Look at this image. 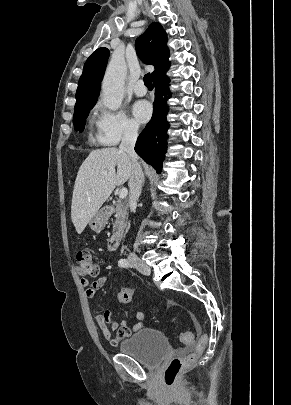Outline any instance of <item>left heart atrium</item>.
<instances>
[{
    "instance_id": "left-heart-atrium-1",
    "label": "left heart atrium",
    "mask_w": 291,
    "mask_h": 405,
    "mask_svg": "<svg viewBox=\"0 0 291 405\" xmlns=\"http://www.w3.org/2000/svg\"><path fill=\"white\" fill-rule=\"evenodd\" d=\"M135 119L139 122H146L152 113L151 105L145 100L137 101L132 109Z\"/></svg>"
}]
</instances>
